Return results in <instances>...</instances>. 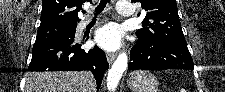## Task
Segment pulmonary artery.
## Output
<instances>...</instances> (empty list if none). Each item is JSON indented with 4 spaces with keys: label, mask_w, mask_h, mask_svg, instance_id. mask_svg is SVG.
Segmentation results:
<instances>
[{
    "label": "pulmonary artery",
    "mask_w": 225,
    "mask_h": 92,
    "mask_svg": "<svg viewBox=\"0 0 225 92\" xmlns=\"http://www.w3.org/2000/svg\"><path fill=\"white\" fill-rule=\"evenodd\" d=\"M129 5H130V3H128V2H123V1L119 2L118 7H119L120 13L122 15L127 16V17H130L133 15V11L128 9ZM89 23H90L89 19L82 20L79 23V28L81 29V28L85 27L86 25H88Z\"/></svg>",
    "instance_id": "1"
}]
</instances>
